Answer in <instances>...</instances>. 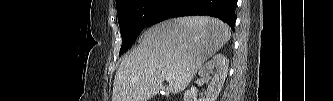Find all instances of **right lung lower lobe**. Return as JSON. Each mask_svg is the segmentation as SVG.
<instances>
[{
  "mask_svg": "<svg viewBox=\"0 0 333 101\" xmlns=\"http://www.w3.org/2000/svg\"><path fill=\"white\" fill-rule=\"evenodd\" d=\"M236 4L237 0H166L153 24L170 17L208 15L221 19L234 31Z\"/></svg>",
  "mask_w": 333,
  "mask_h": 101,
  "instance_id": "1",
  "label": "right lung lower lobe"
}]
</instances>
